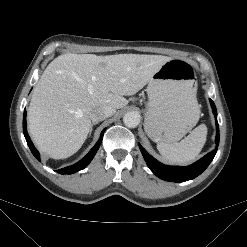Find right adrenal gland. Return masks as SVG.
Here are the masks:
<instances>
[{
    "label": "right adrenal gland",
    "instance_id": "1",
    "mask_svg": "<svg viewBox=\"0 0 247 247\" xmlns=\"http://www.w3.org/2000/svg\"><path fill=\"white\" fill-rule=\"evenodd\" d=\"M96 123H93L92 124V127H93V125H95ZM91 127V129H90V135H91V132H92V130H93V128Z\"/></svg>",
    "mask_w": 247,
    "mask_h": 247
}]
</instances>
